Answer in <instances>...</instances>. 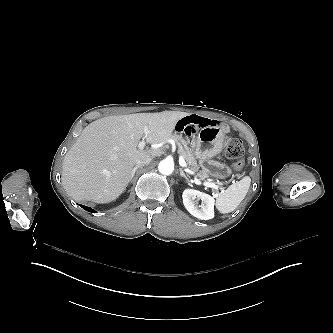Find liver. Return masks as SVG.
I'll use <instances>...</instances> for the list:
<instances>
[{
  "mask_svg": "<svg viewBox=\"0 0 333 333\" xmlns=\"http://www.w3.org/2000/svg\"><path fill=\"white\" fill-rule=\"evenodd\" d=\"M186 112L164 111L108 116L84 128L63 160L62 184L76 201L109 203L125 190L136 162L155 158L163 150L137 149L142 137L156 144L172 135ZM148 134H144V128Z\"/></svg>",
  "mask_w": 333,
  "mask_h": 333,
  "instance_id": "obj_1",
  "label": "liver"
}]
</instances>
